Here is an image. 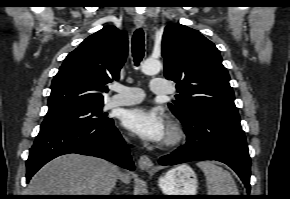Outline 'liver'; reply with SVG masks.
Instances as JSON below:
<instances>
[{"label": "liver", "instance_id": "6515ba94", "mask_svg": "<svg viewBox=\"0 0 290 199\" xmlns=\"http://www.w3.org/2000/svg\"><path fill=\"white\" fill-rule=\"evenodd\" d=\"M117 176L125 184L128 173L95 157L67 154L43 166L28 185L30 195H110Z\"/></svg>", "mask_w": 290, "mask_h": 199}]
</instances>
